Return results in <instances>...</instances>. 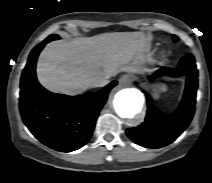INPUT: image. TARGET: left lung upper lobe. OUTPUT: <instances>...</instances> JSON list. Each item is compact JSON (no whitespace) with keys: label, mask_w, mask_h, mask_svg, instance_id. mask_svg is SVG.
Returning <instances> with one entry per match:
<instances>
[{"label":"left lung upper lobe","mask_w":212,"mask_h":183,"mask_svg":"<svg viewBox=\"0 0 212 183\" xmlns=\"http://www.w3.org/2000/svg\"><path fill=\"white\" fill-rule=\"evenodd\" d=\"M173 39H174V41L176 42V41L178 40V37L175 36V35H173Z\"/></svg>","instance_id":"obj_1"}]
</instances>
